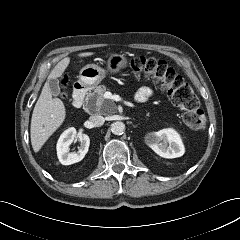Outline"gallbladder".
Masks as SVG:
<instances>
[{"instance_id":"bac80fb5","label":"gallbladder","mask_w":240,"mask_h":240,"mask_svg":"<svg viewBox=\"0 0 240 240\" xmlns=\"http://www.w3.org/2000/svg\"><path fill=\"white\" fill-rule=\"evenodd\" d=\"M49 88L50 92L53 96H58L60 94V86H59V80L58 79H51L49 80Z\"/></svg>"}]
</instances>
